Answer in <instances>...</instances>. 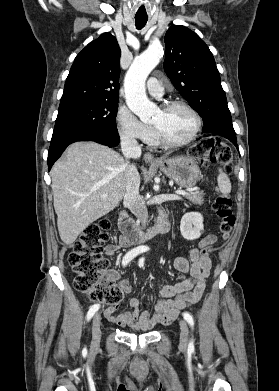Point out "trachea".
<instances>
[{"instance_id": "trachea-1", "label": "trachea", "mask_w": 279, "mask_h": 391, "mask_svg": "<svg viewBox=\"0 0 279 391\" xmlns=\"http://www.w3.org/2000/svg\"><path fill=\"white\" fill-rule=\"evenodd\" d=\"M135 22H136V28L140 30L146 25L147 18H135Z\"/></svg>"}]
</instances>
